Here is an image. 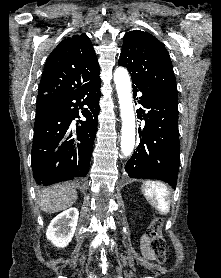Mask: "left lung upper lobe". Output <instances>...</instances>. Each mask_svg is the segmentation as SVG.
Wrapping results in <instances>:
<instances>
[{"label": "left lung upper lobe", "instance_id": "5c2ea615", "mask_svg": "<svg viewBox=\"0 0 221 278\" xmlns=\"http://www.w3.org/2000/svg\"><path fill=\"white\" fill-rule=\"evenodd\" d=\"M118 63L128 69L133 83L149 87L178 101L176 80L168 52L150 33L141 30L127 32Z\"/></svg>", "mask_w": 221, "mask_h": 278}]
</instances>
